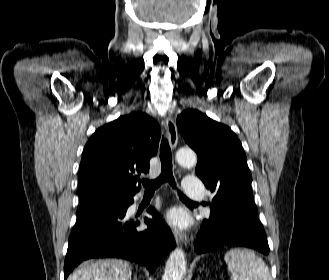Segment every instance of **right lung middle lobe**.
<instances>
[{"mask_svg":"<svg viewBox=\"0 0 329 280\" xmlns=\"http://www.w3.org/2000/svg\"><path fill=\"white\" fill-rule=\"evenodd\" d=\"M116 197H97V198H90V199H85V200H80V209H79V213H82L86 210H88L89 208L100 204L106 200H112Z\"/></svg>","mask_w":329,"mask_h":280,"instance_id":"obj_1","label":"right lung middle lobe"}]
</instances>
